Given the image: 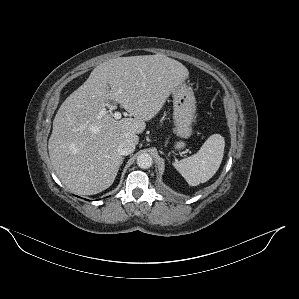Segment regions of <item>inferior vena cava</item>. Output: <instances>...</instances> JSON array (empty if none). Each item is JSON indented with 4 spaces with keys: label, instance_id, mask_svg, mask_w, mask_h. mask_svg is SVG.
I'll use <instances>...</instances> for the list:
<instances>
[{
    "label": "inferior vena cava",
    "instance_id": "602c4592",
    "mask_svg": "<svg viewBox=\"0 0 299 299\" xmlns=\"http://www.w3.org/2000/svg\"><path fill=\"white\" fill-rule=\"evenodd\" d=\"M135 150V143L131 139H124L118 145V152L121 155H129Z\"/></svg>",
    "mask_w": 299,
    "mask_h": 299
}]
</instances>
